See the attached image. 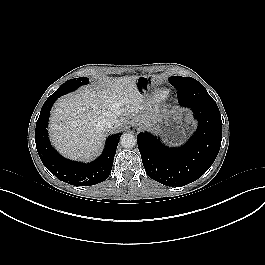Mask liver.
<instances>
[{"label":"liver","mask_w":265,"mask_h":265,"mask_svg":"<svg viewBox=\"0 0 265 265\" xmlns=\"http://www.w3.org/2000/svg\"><path fill=\"white\" fill-rule=\"evenodd\" d=\"M137 79V76L121 77L107 89L85 87L60 98L50 117L49 131L54 147L72 160L87 162L96 157L106 132L98 123L112 115L117 118L134 115L142 109ZM140 118L136 116L135 120ZM141 122L149 126L147 118L142 117Z\"/></svg>","instance_id":"1"}]
</instances>
